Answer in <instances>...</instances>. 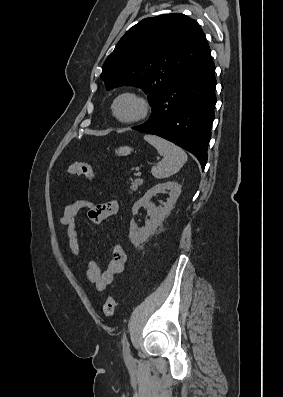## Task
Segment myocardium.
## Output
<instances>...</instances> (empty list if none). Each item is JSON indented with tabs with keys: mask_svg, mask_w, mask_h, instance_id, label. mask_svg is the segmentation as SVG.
I'll return each mask as SVG.
<instances>
[{
	"mask_svg": "<svg viewBox=\"0 0 283 397\" xmlns=\"http://www.w3.org/2000/svg\"><path fill=\"white\" fill-rule=\"evenodd\" d=\"M124 97H132L135 98L139 104H140V112L137 116L132 117V118H128V119H124L121 118L120 116H118V114L116 113V105L118 103V101ZM111 111H112V115L114 116V118L123 123V124H134V123H138L144 119H146L150 112H151V103L149 101V99L142 93L138 92V91H124L119 93L113 100L112 104H111Z\"/></svg>",
	"mask_w": 283,
	"mask_h": 397,
	"instance_id": "f54148a6",
	"label": "myocardium"
}]
</instances>
